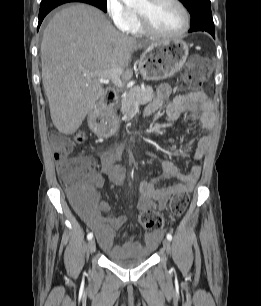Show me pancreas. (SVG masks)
<instances>
[{"label":"pancreas","instance_id":"cf45deb5","mask_svg":"<svg viewBox=\"0 0 261 306\" xmlns=\"http://www.w3.org/2000/svg\"><path fill=\"white\" fill-rule=\"evenodd\" d=\"M154 98L153 89L150 86L142 88L134 86L129 89L121 99V112L130 113L140 105H145Z\"/></svg>","mask_w":261,"mask_h":306}]
</instances>
